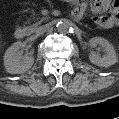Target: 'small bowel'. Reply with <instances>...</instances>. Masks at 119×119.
I'll return each mask as SVG.
<instances>
[{
  "instance_id": "c3829d8e",
  "label": "small bowel",
  "mask_w": 119,
  "mask_h": 119,
  "mask_svg": "<svg viewBox=\"0 0 119 119\" xmlns=\"http://www.w3.org/2000/svg\"><path fill=\"white\" fill-rule=\"evenodd\" d=\"M76 12L81 16L89 8L94 14L93 21L101 29H109L119 23V2L112 0L76 1Z\"/></svg>"
}]
</instances>
